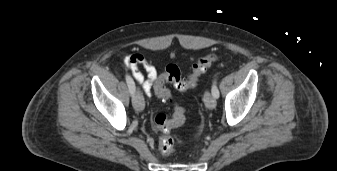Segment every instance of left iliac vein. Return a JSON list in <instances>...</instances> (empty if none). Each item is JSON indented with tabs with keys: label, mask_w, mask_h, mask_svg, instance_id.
<instances>
[{
	"label": "left iliac vein",
	"mask_w": 337,
	"mask_h": 171,
	"mask_svg": "<svg viewBox=\"0 0 337 171\" xmlns=\"http://www.w3.org/2000/svg\"><path fill=\"white\" fill-rule=\"evenodd\" d=\"M204 103L209 109H213L216 107V99L209 91H206L204 94Z\"/></svg>",
	"instance_id": "4c4485c4"
}]
</instances>
